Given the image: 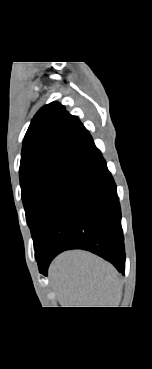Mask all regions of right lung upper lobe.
Returning <instances> with one entry per match:
<instances>
[{"label":"right lung upper lobe","mask_w":152,"mask_h":369,"mask_svg":"<svg viewBox=\"0 0 152 369\" xmlns=\"http://www.w3.org/2000/svg\"><path fill=\"white\" fill-rule=\"evenodd\" d=\"M96 148L80 120L52 102L34 116L23 140L20 177L61 162L79 163Z\"/></svg>","instance_id":"right-lung-upper-lobe-1"}]
</instances>
